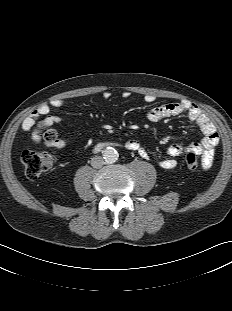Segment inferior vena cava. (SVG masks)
I'll list each match as a JSON object with an SVG mask.
<instances>
[{
    "label": "inferior vena cava",
    "instance_id": "inferior-vena-cava-1",
    "mask_svg": "<svg viewBox=\"0 0 232 311\" xmlns=\"http://www.w3.org/2000/svg\"><path fill=\"white\" fill-rule=\"evenodd\" d=\"M105 164L103 158L101 156H94L91 158V166L93 168L99 169Z\"/></svg>",
    "mask_w": 232,
    "mask_h": 311
}]
</instances>
